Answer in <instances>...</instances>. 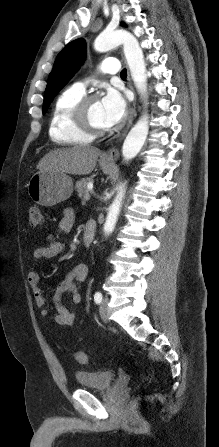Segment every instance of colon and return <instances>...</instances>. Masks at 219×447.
<instances>
[{
  "instance_id": "obj_1",
  "label": "colon",
  "mask_w": 219,
  "mask_h": 447,
  "mask_svg": "<svg viewBox=\"0 0 219 447\" xmlns=\"http://www.w3.org/2000/svg\"><path fill=\"white\" fill-rule=\"evenodd\" d=\"M42 222L41 210L38 206L32 205L29 208V225L31 227H38ZM75 360L79 364H87L89 361L87 353L84 351H76L74 353Z\"/></svg>"
}]
</instances>
